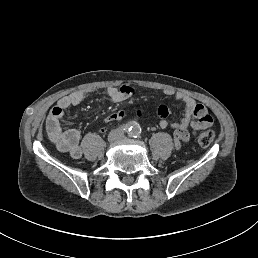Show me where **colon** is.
I'll return each instance as SVG.
<instances>
[{"label":"colon","mask_w":258,"mask_h":258,"mask_svg":"<svg viewBox=\"0 0 258 258\" xmlns=\"http://www.w3.org/2000/svg\"><path fill=\"white\" fill-rule=\"evenodd\" d=\"M215 138V132L213 130H207L199 134L198 143L200 146L206 148L212 144Z\"/></svg>","instance_id":"obj_1"}]
</instances>
